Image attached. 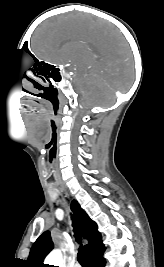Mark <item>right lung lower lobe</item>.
Instances as JSON below:
<instances>
[{"label": "right lung lower lobe", "instance_id": "1", "mask_svg": "<svg viewBox=\"0 0 164 267\" xmlns=\"http://www.w3.org/2000/svg\"><path fill=\"white\" fill-rule=\"evenodd\" d=\"M103 251L98 252L88 258V267H104L105 266V259L103 258Z\"/></svg>", "mask_w": 164, "mask_h": 267}]
</instances>
